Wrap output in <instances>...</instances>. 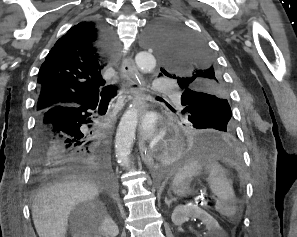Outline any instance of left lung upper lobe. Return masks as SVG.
<instances>
[{
	"label": "left lung upper lobe",
	"instance_id": "5c2ea615",
	"mask_svg": "<svg viewBox=\"0 0 297 237\" xmlns=\"http://www.w3.org/2000/svg\"><path fill=\"white\" fill-rule=\"evenodd\" d=\"M148 39L163 62L161 75L182 88L181 113L194 122L213 118L219 128L233 131L228 91L203 39L169 21L155 22Z\"/></svg>",
	"mask_w": 297,
	"mask_h": 237
}]
</instances>
